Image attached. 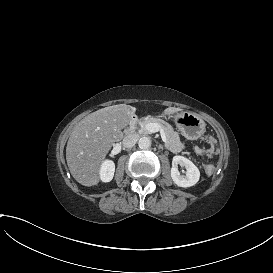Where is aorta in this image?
<instances>
[{"label": "aorta", "instance_id": "1", "mask_svg": "<svg viewBox=\"0 0 273 273\" xmlns=\"http://www.w3.org/2000/svg\"><path fill=\"white\" fill-rule=\"evenodd\" d=\"M139 148L148 149L151 146V140L148 137H141L138 142Z\"/></svg>", "mask_w": 273, "mask_h": 273}]
</instances>
